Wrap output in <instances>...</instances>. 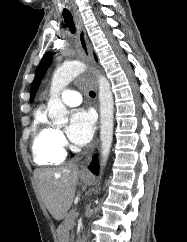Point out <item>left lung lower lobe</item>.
<instances>
[{"label":"left lung lower lobe","instance_id":"left-lung-lower-lobe-1","mask_svg":"<svg viewBox=\"0 0 187 242\" xmlns=\"http://www.w3.org/2000/svg\"><path fill=\"white\" fill-rule=\"evenodd\" d=\"M89 168H90V170H91L93 173H96V174H97L98 163H97V159H96V157L93 158V161H92V163L90 164Z\"/></svg>","mask_w":187,"mask_h":242}]
</instances>
